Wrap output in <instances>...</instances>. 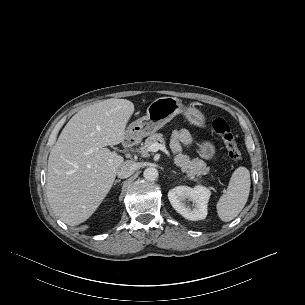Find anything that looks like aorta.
Segmentation results:
<instances>
[{"mask_svg": "<svg viewBox=\"0 0 305 305\" xmlns=\"http://www.w3.org/2000/svg\"><path fill=\"white\" fill-rule=\"evenodd\" d=\"M158 170L153 167H148L144 170L143 176L147 181H155L158 178Z\"/></svg>", "mask_w": 305, "mask_h": 305, "instance_id": "obj_1", "label": "aorta"}]
</instances>
